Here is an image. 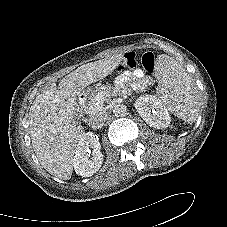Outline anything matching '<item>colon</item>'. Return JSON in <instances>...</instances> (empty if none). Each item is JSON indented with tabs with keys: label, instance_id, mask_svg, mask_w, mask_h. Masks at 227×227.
I'll return each instance as SVG.
<instances>
[{
	"label": "colon",
	"instance_id": "colon-1",
	"mask_svg": "<svg viewBox=\"0 0 227 227\" xmlns=\"http://www.w3.org/2000/svg\"><path fill=\"white\" fill-rule=\"evenodd\" d=\"M140 64L148 73H154L155 67H156L155 55L151 52L144 53L141 56ZM136 65H137V59H136L135 53L129 52L125 55L119 69L120 70L132 69L136 67Z\"/></svg>",
	"mask_w": 227,
	"mask_h": 227
}]
</instances>
